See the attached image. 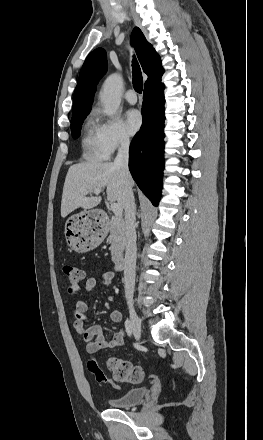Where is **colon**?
<instances>
[{
	"instance_id": "obj_1",
	"label": "colon",
	"mask_w": 263,
	"mask_h": 440,
	"mask_svg": "<svg viewBox=\"0 0 263 440\" xmlns=\"http://www.w3.org/2000/svg\"><path fill=\"white\" fill-rule=\"evenodd\" d=\"M63 273L72 288H78L85 279V272L82 268L67 264L63 267ZM108 368L112 378L116 382L139 383L143 380L144 372L140 366L129 361L117 358L108 360ZM89 369L99 383L112 384V381L104 374L94 361L89 363Z\"/></svg>"
}]
</instances>
